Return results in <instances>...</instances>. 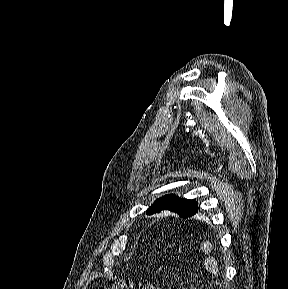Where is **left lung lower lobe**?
Returning <instances> with one entry per match:
<instances>
[{
  "instance_id": "left-lung-lower-lobe-1",
  "label": "left lung lower lobe",
  "mask_w": 288,
  "mask_h": 289,
  "mask_svg": "<svg viewBox=\"0 0 288 289\" xmlns=\"http://www.w3.org/2000/svg\"><path fill=\"white\" fill-rule=\"evenodd\" d=\"M197 212H198V207L195 209V211H194L189 217L193 216V215L196 214Z\"/></svg>"
}]
</instances>
